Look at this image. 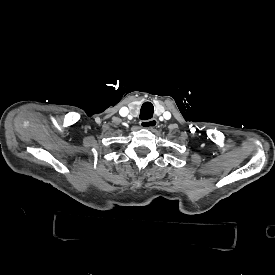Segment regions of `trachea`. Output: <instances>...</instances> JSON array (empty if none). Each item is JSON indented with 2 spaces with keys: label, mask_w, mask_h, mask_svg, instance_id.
<instances>
[{
  "label": "trachea",
  "mask_w": 275,
  "mask_h": 275,
  "mask_svg": "<svg viewBox=\"0 0 275 275\" xmlns=\"http://www.w3.org/2000/svg\"><path fill=\"white\" fill-rule=\"evenodd\" d=\"M154 113V106L151 102H145L141 106L139 118L141 120L151 119Z\"/></svg>",
  "instance_id": "3493384b"
}]
</instances>
